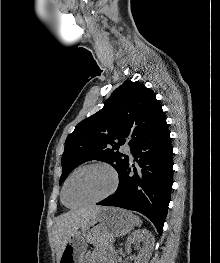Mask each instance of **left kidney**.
I'll use <instances>...</instances> for the list:
<instances>
[{"label":"left kidney","instance_id":"obj_1","mask_svg":"<svg viewBox=\"0 0 220 263\" xmlns=\"http://www.w3.org/2000/svg\"><path fill=\"white\" fill-rule=\"evenodd\" d=\"M154 241V237L149 230H136L126 241V251L130 253L131 244L142 242L143 248H141L139 254L134 257V263H147L154 247Z\"/></svg>","mask_w":220,"mask_h":263}]
</instances>
